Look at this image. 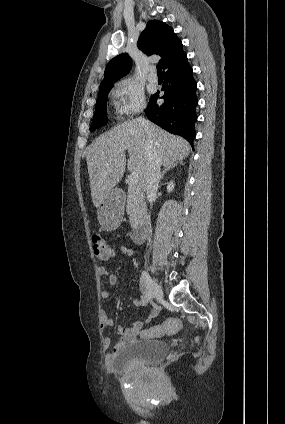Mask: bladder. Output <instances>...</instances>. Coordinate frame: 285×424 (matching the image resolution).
<instances>
[{"instance_id": "1", "label": "bladder", "mask_w": 285, "mask_h": 424, "mask_svg": "<svg viewBox=\"0 0 285 424\" xmlns=\"http://www.w3.org/2000/svg\"><path fill=\"white\" fill-rule=\"evenodd\" d=\"M169 352L166 342L157 339L139 340L121 348L112 361V368L126 371L136 363L158 364Z\"/></svg>"}]
</instances>
